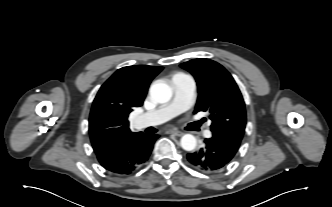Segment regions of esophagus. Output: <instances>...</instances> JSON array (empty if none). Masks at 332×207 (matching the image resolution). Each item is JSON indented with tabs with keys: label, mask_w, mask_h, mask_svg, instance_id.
Instances as JSON below:
<instances>
[{
	"label": "esophagus",
	"mask_w": 332,
	"mask_h": 207,
	"mask_svg": "<svg viewBox=\"0 0 332 207\" xmlns=\"http://www.w3.org/2000/svg\"><path fill=\"white\" fill-rule=\"evenodd\" d=\"M167 133L168 134H173L175 136H182L183 135V132H181L179 130H176V129L168 130Z\"/></svg>",
	"instance_id": "obj_1"
}]
</instances>
